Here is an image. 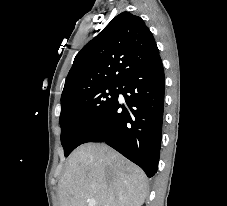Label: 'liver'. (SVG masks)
<instances>
[{
  "label": "liver",
  "instance_id": "liver-1",
  "mask_svg": "<svg viewBox=\"0 0 227 206\" xmlns=\"http://www.w3.org/2000/svg\"><path fill=\"white\" fill-rule=\"evenodd\" d=\"M147 194L144 171L100 143L76 148L58 183L59 206H142Z\"/></svg>",
  "mask_w": 227,
  "mask_h": 206
}]
</instances>
